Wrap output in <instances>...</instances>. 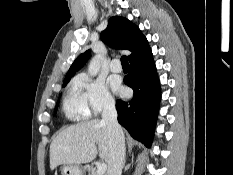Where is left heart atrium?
Segmentation results:
<instances>
[{
    "label": "left heart atrium",
    "mask_w": 233,
    "mask_h": 175,
    "mask_svg": "<svg viewBox=\"0 0 233 175\" xmlns=\"http://www.w3.org/2000/svg\"><path fill=\"white\" fill-rule=\"evenodd\" d=\"M113 89L116 91V92H119V93H122L123 92V88L120 86V84L118 83H114L113 84Z\"/></svg>",
    "instance_id": "left-heart-atrium-1"
}]
</instances>
